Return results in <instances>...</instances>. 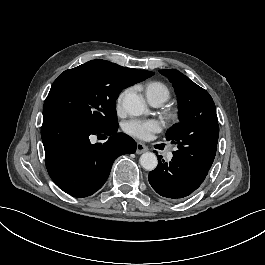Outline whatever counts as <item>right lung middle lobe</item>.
Returning <instances> with one entry per match:
<instances>
[{
  "label": "right lung middle lobe",
  "instance_id": "right-lung-middle-lobe-1",
  "mask_svg": "<svg viewBox=\"0 0 265 265\" xmlns=\"http://www.w3.org/2000/svg\"><path fill=\"white\" fill-rule=\"evenodd\" d=\"M142 77L135 69L91 60L64 71L53 83L43 114H60L96 131L118 127L116 99Z\"/></svg>",
  "mask_w": 265,
  "mask_h": 265
}]
</instances>
